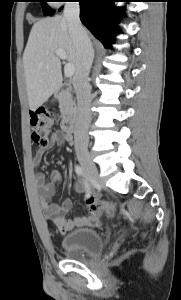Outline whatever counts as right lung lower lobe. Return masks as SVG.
<instances>
[{"label": "right lung lower lobe", "mask_w": 181, "mask_h": 300, "mask_svg": "<svg viewBox=\"0 0 181 300\" xmlns=\"http://www.w3.org/2000/svg\"><path fill=\"white\" fill-rule=\"evenodd\" d=\"M80 19L106 48H110L116 35L115 26L120 14L114 2L119 0H78Z\"/></svg>", "instance_id": "right-lung-lower-lobe-1"}]
</instances>
